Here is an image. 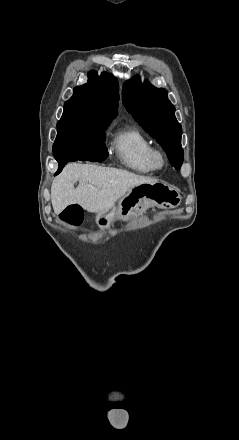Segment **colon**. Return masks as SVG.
I'll list each match as a JSON object with an SVG mask.
<instances>
[{"label":"colon","mask_w":239,"mask_h":440,"mask_svg":"<svg viewBox=\"0 0 239 440\" xmlns=\"http://www.w3.org/2000/svg\"><path fill=\"white\" fill-rule=\"evenodd\" d=\"M81 216H82V211L78 205L68 206L61 214L62 220L74 226L80 224Z\"/></svg>","instance_id":"1"}]
</instances>
